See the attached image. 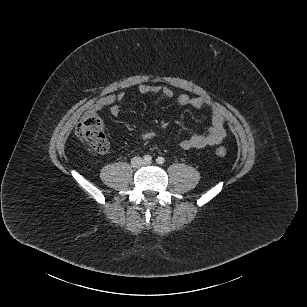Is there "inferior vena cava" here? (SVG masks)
Listing matches in <instances>:
<instances>
[{"instance_id":"602c4592","label":"inferior vena cava","mask_w":307,"mask_h":307,"mask_svg":"<svg viewBox=\"0 0 307 307\" xmlns=\"http://www.w3.org/2000/svg\"><path fill=\"white\" fill-rule=\"evenodd\" d=\"M131 166L133 168H140L142 166V159L138 156H135L131 159Z\"/></svg>"}]
</instances>
